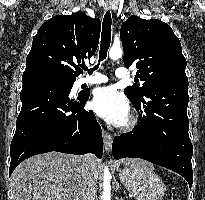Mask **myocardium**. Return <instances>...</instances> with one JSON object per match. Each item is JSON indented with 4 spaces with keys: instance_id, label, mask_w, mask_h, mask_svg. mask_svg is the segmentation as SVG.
I'll list each match as a JSON object with an SVG mask.
<instances>
[{
    "instance_id": "obj_1",
    "label": "myocardium",
    "mask_w": 205,
    "mask_h": 200,
    "mask_svg": "<svg viewBox=\"0 0 205 200\" xmlns=\"http://www.w3.org/2000/svg\"><path fill=\"white\" fill-rule=\"evenodd\" d=\"M138 125V120L134 115L129 116L126 122L122 125L121 131L124 133L132 132L136 129Z\"/></svg>"
}]
</instances>
